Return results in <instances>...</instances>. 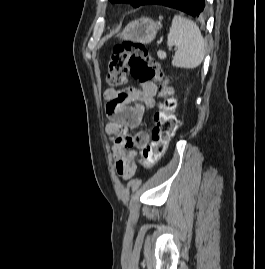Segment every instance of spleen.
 I'll list each match as a JSON object with an SVG mask.
<instances>
[{"instance_id": "obj_1", "label": "spleen", "mask_w": 265, "mask_h": 269, "mask_svg": "<svg viewBox=\"0 0 265 269\" xmlns=\"http://www.w3.org/2000/svg\"><path fill=\"white\" fill-rule=\"evenodd\" d=\"M167 45L177 48L172 60L174 67L193 69L204 59L206 42L199 27L180 15H175L172 20Z\"/></svg>"}]
</instances>
